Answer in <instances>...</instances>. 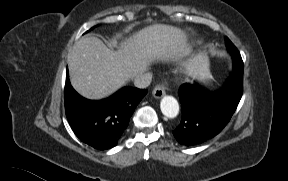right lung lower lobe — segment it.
Instances as JSON below:
<instances>
[{"label":"right lung lower lobe","mask_w":288,"mask_h":181,"mask_svg":"<svg viewBox=\"0 0 288 181\" xmlns=\"http://www.w3.org/2000/svg\"><path fill=\"white\" fill-rule=\"evenodd\" d=\"M147 90L124 87L100 101L87 100L71 86L68 72L65 83L67 119L84 143L99 150L114 147L125 132L136 106Z\"/></svg>","instance_id":"98d812e1"}]
</instances>
